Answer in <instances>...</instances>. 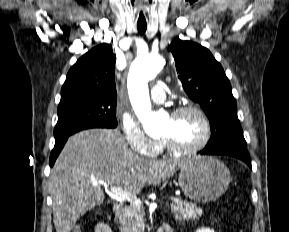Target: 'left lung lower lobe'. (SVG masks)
<instances>
[{
	"label": "left lung lower lobe",
	"instance_id": "1",
	"mask_svg": "<svg viewBox=\"0 0 289 232\" xmlns=\"http://www.w3.org/2000/svg\"><path fill=\"white\" fill-rule=\"evenodd\" d=\"M201 155H227L238 158L244 161L250 168L251 160L249 153L246 149V146H231V147H223L214 150H202L200 151Z\"/></svg>",
	"mask_w": 289,
	"mask_h": 232
}]
</instances>
